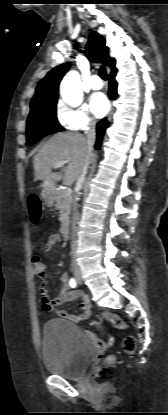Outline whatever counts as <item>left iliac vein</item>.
Returning <instances> with one entry per match:
<instances>
[{
    "mask_svg": "<svg viewBox=\"0 0 168 415\" xmlns=\"http://www.w3.org/2000/svg\"><path fill=\"white\" fill-rule=\"evenodd\" d=\"M77 282H78V284L82 283V279H81L80 275L77 277Z\"/></svg>",
    "mask_w": 168,
    "mask_h": 415,
    "instance_id": "left-iliac-vein-1",
    "label": "left iliac vein"
}]
</instances>
